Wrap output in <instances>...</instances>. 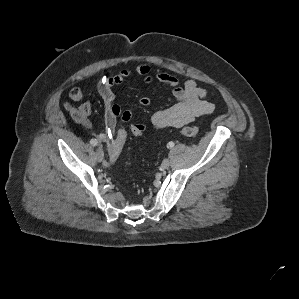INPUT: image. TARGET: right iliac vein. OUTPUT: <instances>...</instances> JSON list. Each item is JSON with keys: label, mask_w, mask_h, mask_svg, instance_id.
I'll list each match as a JSON object with an SVG mask.
<instances>
[{"label": "right iliac vein", "mask_w": 299, "mask_h": 299, "mask_svg": "<svg viewBox=\"0 0 299 299\" xmlns=\"http://www.w3.org/2000/svg\"><path fill=\"white\" fill-rule=\"evenodd\" d=\"M96 158L99 162L103 161L104 159V153L102 151L101 148H98L97 151H96Z\"/></svg>", "instance_id": "1"}]
</instances>
